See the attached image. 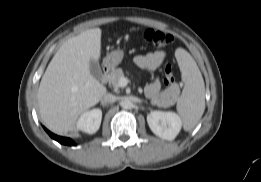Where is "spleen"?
Listing matches in <instances>:
<instances>
[{
  "mask_svg": "<svg viewBox=\"0 0 261 182\" xmlns=\"http://www.w3.org/2000/svg\"><path fill=\"white\" fill-rule=\"evenodd\" d=\"M184 88L177 102V111L186 131L193 130L205 110V85L202 74L193 57L183 48L175 52Z\"/></svg>",
  "mask_w": 261,
  "mask_h": 182,
  "instance_id": "obj_1",
  "label": "spleen"
}]
</instances>
